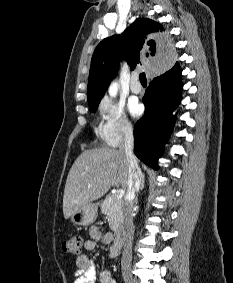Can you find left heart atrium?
Masks as SVG:
<instances>
[{
  "mask_svg": "<svg viewBox=\"0 0 233 283\" xmlns=\"http://www.w3.org/2000/svg\"><path fill=\"white\" fill-rule=\"evenodd\" d=\"M128 109L133 117H137L142 113V106L136 101H131L128 105Z\"/></svg>",
  "mask_w": 233,
  "mask_h": 283,
  "instance_id": "obj_1",
  "label": "left heart atrium"
}]
</instances>
